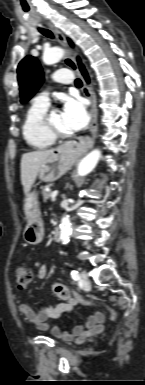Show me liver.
Segmentation results:
<instances>
[{
  "mask_svg": "<svg viewBox=\"0 0 145 385\" xmlns=\"http://www.w3.org/2000/svg\"><path fill=\"white\" fill-rule=\"evenodd\" d=\"M56 149L49 150H36L28 152L22 155L21 158V182L23 185L24 193L28 194L31 190L33 183L36 180L39 169L43 162L55 151Z\"/></svg>",
  "mask_w": 145,
  "mask_h": 385,
  "instance_id": "1",
  "label": "liver"
}]
</instances>
